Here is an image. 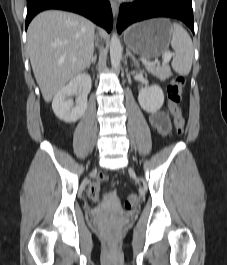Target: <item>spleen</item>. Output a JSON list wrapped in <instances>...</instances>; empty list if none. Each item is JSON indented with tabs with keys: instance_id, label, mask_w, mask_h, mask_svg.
<instances>
[{
	"instance_id": "3e777b00",
	"label": "spleen",
	"mask_w": 227,
	"mask_h": 265,
	"mask_svg": "<svg viewBox=\"0 0 227 265\" xmlns=\"http://www.w3.org/2000/svg\"><path fill=\"white\" fill-rule=\"evenodd\" d=\"M171 46L175 51L172 68L179 75H188L193 61L194 48L192 39L187 31L178 23H173Z\"/></svg>"
}]
</instances>
